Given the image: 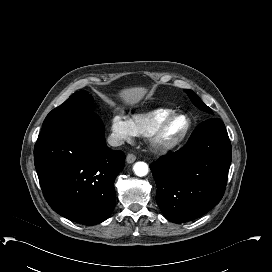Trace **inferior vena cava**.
<instances>
[{
    "label": "inferior vena cava",
    "instance_id": "602c4592",
    "mask_svg": "<svg viewBox=\"0 0 272 272\" xmlns=\"http://www.w3.org/2000/svg\"><path fill=\"white\" fill-rule=\"evenodd\" d=\"M107 141H108V144L113 147L121 146L122 144H124L123 137L118 134H111L108 137Z\"/></svg>",
    "mask_w": 272,
    "mask_h": 272
}]
</instances>
